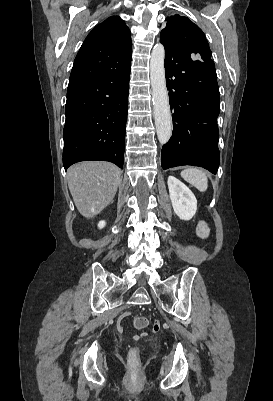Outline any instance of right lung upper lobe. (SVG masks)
I'll return each mask as SVG.
<instances>
[{"instance_id":"1","label":"right lung upper lobe","mask_w":273,"mask_h":401,"mask_svg":"<svg viewBox=\"0 0 273 401\" xmlns=\"http://www.w3.org/2000/svg\"><path fill=\"white\" fill-rule=\"evenodd\" d=\"M130 30L118 16L97 25L86 37L72 68L68 90L98 79L111 67L130 61Z\"/></svg>"}]
</instances>
